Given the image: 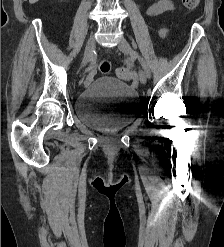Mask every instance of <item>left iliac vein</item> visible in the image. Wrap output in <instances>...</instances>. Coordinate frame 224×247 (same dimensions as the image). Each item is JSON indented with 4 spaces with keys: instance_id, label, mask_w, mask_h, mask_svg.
I'll list each match as a JSON object with an SVG mask.
<instances>
[{
    "instance_id": "left-iliac-vein-1",
    "label": "left iliac vein",
    "mask_w": 224,
    "mask_h": 247,
    "mask_svg": "<svg viewBox=\"0 0 224 247\" xmlns=\"http://www.w3.org/2000/svg\"><path fill=\"white\" fill-rule=\"evenodd\" d=\"M118 48L124 54L132 55V56L134 54L131 45L124 37L120 38ZM138 76L142 84H145L147 82V76H146V73L143 71V69L141 68L139 69Z\"/></svg>"
}]
</instances>
